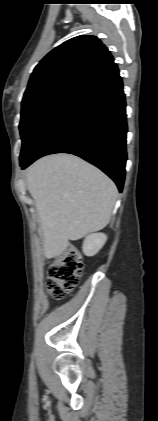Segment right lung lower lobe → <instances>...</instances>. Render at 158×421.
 <instances>
[{"mask_svg":"<svg viewBox=\"0 0 158 421\" xmlns=\"http://www.w3.org/2000/svg\"><path fill=\"white\" fill-rule=\"evenodd\" d=\"M125 106L122 79L112 63L62 105L20 163L22 169L45 155L70 153L100 168L121 192L127 160Z\"/></svg>","mask_w":158,"mask_h":421,"instance_id":"obj_1","label":"right lung lower lobe"}]
</instances>
